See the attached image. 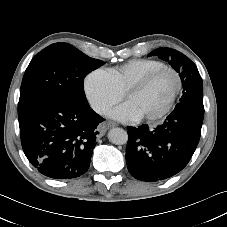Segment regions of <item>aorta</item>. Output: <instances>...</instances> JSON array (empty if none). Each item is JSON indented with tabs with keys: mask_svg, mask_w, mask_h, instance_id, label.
I'll return each instance as SVG.
<instances>
[{
	"mask_svg": "<svg viewBox=\"0 0 227 227\" xmlns=\"http://www.w3.org/2000/svg\"><path fill=\"white\" fill-rule=\"evenodd\" d=\"M107 137L115 145H122L127 142V132L122 128H112L109 130Z\"/></svg>",
	"mask_w": 227,
	"mask_h": 227,
	"instance_id": "1",
	"label": "aorta"
}]
</instances>
